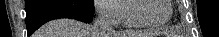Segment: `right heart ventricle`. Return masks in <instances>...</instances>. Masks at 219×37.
<instances>
[{"mask_svg":"<svg viewBox=\"0 0 219 37\" xmlns=\"http://www.w3.org/2000/svg\"><path fill=\"white\" fill-rule=\"evenodd\" d=\"M129 2L130 1H125V4L123 6V9L125 11H128L129 10ZM125 24L129 27H137V25L134 24V22L131 20V18L129 17V15L127 17H125V20H124Z\"/></svg>","mask_w":219,"mask_h":37,"instance_id":"1","label":"right heart ventricle"}]
</instances>
